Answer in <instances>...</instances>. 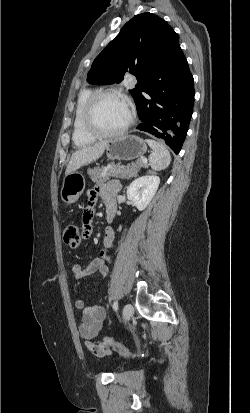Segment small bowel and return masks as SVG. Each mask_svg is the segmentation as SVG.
<instances>
[{"instance_id": "c3829d8e", "label": "small bowel", "mask_w": 250, "mask_h": 413, "mask_svg": "<svg viewBox=\"0 0 250 413\" xmlns=\"http://www.w3.org/2000/svg\"><path fill=\"white\" fill-rule=\"evenodd\" d=\"M120 185L116 181L103 183L97 185L91 190L87 197V205L84 210L83 222L84 225L81 228L80 235L82 238L89 240L92 235L91 219L94 213V206L98 197H102L106 201V210L112 208L115 210L116 195L119 192ZM115 231L113 227L108 226L104 233V249L100 252L99 256L93 259L87 266L82 267L80 264H73L71 266V278L75 281H80L97 271H99L104 277L107 276L109 271V263L111 257L109 251L114 247ZM75 306L82 310L81 323L79 326L80 336L86 340V345L89 351L102 357L110 353V347H100L93 339L99 334L105 319L106 310L101 304H95L92 306H86L84 298H78L75 302Z\"/></svg>"}]
</instances>
